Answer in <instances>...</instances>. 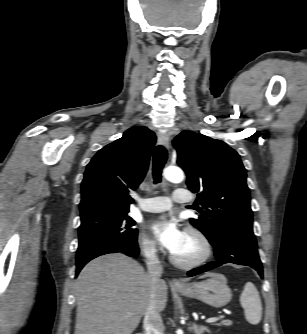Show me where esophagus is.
<instances>
[{"label": "esophagus", "instance_id": "obj_1", "mask_svg": "<svg viewBox=\"0 0 307 334\" xmlns=\"http://www.w3.org/2000/svg\"><path fill=\"white\" fill-rule=\"evenodd\" d=\"M158 141L159 143L164 146L166 149H169L170 146V136L167 132H158ZM170 284L174 287H186L187 283L183 280L179 279H172Z\"/></svg>", "mask_w": 307, "mask_h": 334}]
</instances>
